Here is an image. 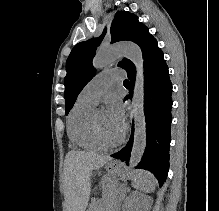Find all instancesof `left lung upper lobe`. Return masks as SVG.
<instances>
[{
  "label": "left lung upper lobe",
  "instance_id": "left-lung-upper-lobe-1",
  "mask_svg": "<svg viewBox=\"0 0 219 211\" xmlns=\"http://www.w3.org/2000/svg\"><path fill=\"white\" fill-rule=\"evenodd\" d=\"M110 33L111 43L118 41H132L136 43L141 48L144 63L160 49L156 39L149 33L148 28L138 21L137 16L127 11L116 13L111 24ZM105 34L106 30L98 38L76 44L67 59V75L64 79L66 114L73 107L78 94L95 75L92 60L96 48L101 43ZM118 66L125 69L127 73L135 71L134 64L126 58L119 62Z\"/></svg>",
  "mask_w": 219,
  "mask_h": 211
}]
</instances>
